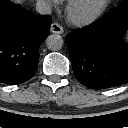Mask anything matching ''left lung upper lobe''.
Here are the masks:
<instances>
[{"mask_svg":"<svg viewBox=\"0 0 128 128\" xmlns=\"http://www.w3.org/2000/svg\"><path fill=\"white\" fill-rule=\"evenodd\" d=\"M127 4H128V0H123L119 6H123V5H127Z\"/></svg>","mask_w":128,"mask_h":128,"instance_id":"obj_1","label":"left lung upper lobe"}]
</instances>
